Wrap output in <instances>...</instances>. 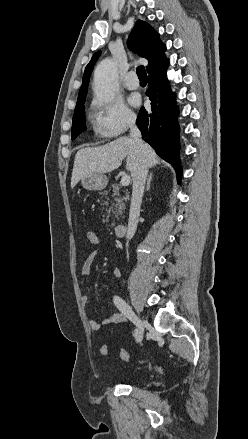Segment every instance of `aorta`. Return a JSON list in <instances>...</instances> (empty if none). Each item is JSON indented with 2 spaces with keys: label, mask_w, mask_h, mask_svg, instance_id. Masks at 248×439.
<instances>
[{
  "label": "aorta",
  "mask_w": 248,
  "mask_h": 439,
  "mask_svg": "<svg viewBox=\"0 0 248 439\" xmlns=\"http://www.w3.org/2000/svg\"><path fill=\"white\" fill-rule=\"evenodd\" d=\"M118 83V71L113 59L101 61L94 72V93L103 102L110 103L115 99Z\"/></svg>",
  "instance_id": "1"
}]
</instances>
